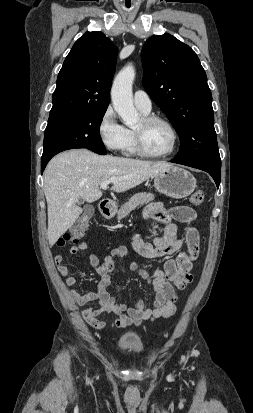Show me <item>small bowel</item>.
I'll use <instances>...</instances> for the list:
<instances>
[{"label":"small bowel","instance_id":"1","mask_svg":"<svg viewBox=\"0 0 253 413\" xmlns=\"http://www.w3.org/2000/svg\"><path fill=\"white\" fill-rule=\"evenodd\" d=\"M143 217L162 223L164 232L162 236L154 237L152 243L145 242L139 235H136L133 239L136 256L158 258L174 253H177V255L168 259L163 268L155 269L151 273L137 260L130 263L131 270L136 271L152 286L153 301L151 307H148L141 298L131 301L129 306L118 303L108 291L112 273L115 269L114 260L115 258L126 257V248L114 249L103 262H100L96 255H89V263L99 277L97 289L84 293L72 289L71 295L79 307H83L90 302H97V306L86 308L82 312L84 320L95 329H103L108 326L99 317L109 312L118 316L110 324L116 328H124L130 325L137 326L143 321L168 318L176 311L177 290H184L192 281L190 272L193 261L199 253V233L194 225L197 218L195 210L188 206L167 208L163 203L155 202L144 208ZM175 221L185 224L184 235L180 238L177 237ZM86 248V243L82 242L71 247L70 253L74 256ZM54 263L59 274L65 277L66 285L75 286L77 279L70 274L69 268L63 264L62 254H57L54 257Z\"/></svg>","mask_w":253,"mask_h":413}]
</instances>
